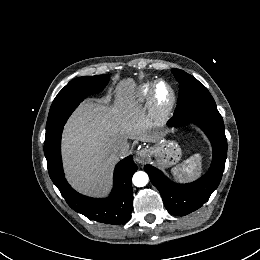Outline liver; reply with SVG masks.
<instances>
[{
    "mask_svg": "<svg viewBox=\"0 0 260 260\" xmlns=\"http://www.w3.org/2000/svg\"><path fill=\"white\" fill-rule=\"evenodd\" d=\"M151 128L131 106L109 108L90 100L82 103L63 136L64 165L71 184L92 196L107 194L120 157L113 146L128 139L156 141L158 135Z\"/></svg>",
    "mask_w": 260,
    "mask_h": 260,
    "instance_id": "6515ba94",
    "label": "liver"
}]
</instances>
